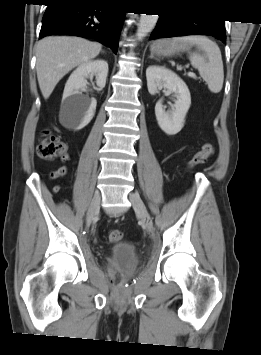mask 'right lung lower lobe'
<instances>
[{
  "instance_id": "obj_1",
  "label": "right lung lower lobe",
  "mask_w": 261,
  "mask_h": 355,
  "mask_svg": "<svg viewBox=\"0 0 261 355\" xmlns=\"http://www.w3.org/2000/svg\"><path fill=\"white\" fill-rule=\"evenodd\" d=\"M47 6L39 38L50 35L93 38L117 53L125 12L95 0H48Z\"/></svg>"
}]
</instances>
